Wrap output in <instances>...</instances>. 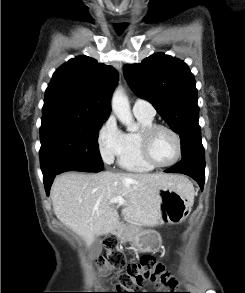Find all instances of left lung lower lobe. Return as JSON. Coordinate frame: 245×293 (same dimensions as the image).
I'll return each instance as SVG.
<instances>
[{"label": "left lung lower lobe", "instance_id": "obj_1", "mask_svg": "<svg viewBox=\"0 0 245 293\" xmlns=\"http://www.w3.org/2000/svg\"><path fill=\"white\" fill-rule=\"evenodd\" d=\"M170 173H182L192 177L200 186L201 190L204 187L205 163H200L194 160L183 159L175 166L165 170Z\"/></svg>", "mask_w": 245, "mask_h": 293}]
</instances>
